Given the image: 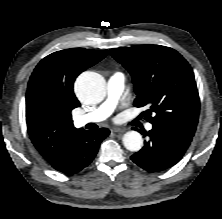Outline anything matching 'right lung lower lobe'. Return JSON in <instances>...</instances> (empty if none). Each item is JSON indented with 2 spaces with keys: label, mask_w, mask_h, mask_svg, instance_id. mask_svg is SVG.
I'll list each match as a JSON object with an SVG mask.
<instances>
[{
  "label": "right lung lower lobe",
  "mask_w": 222,
  "mask_h": 219,
  "mask_svg": "<svg viewBox=\"0 0 222 219\" xmlns=\"http://www.w3.org/2000/svg\"><path fill=\"white\" fill-rule=\"evenodd\" d=\"M109 133L107 128L81 131L70 141L60 159L52 167L66 174L81 171L92 162L100 143Z\"/></svg>",
  "instance_id": "1"
}]
</instances>
